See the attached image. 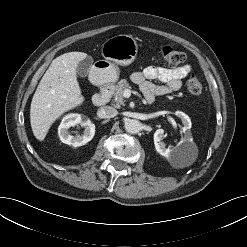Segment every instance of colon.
Here are the masks:
<instances>
[{"label":"colon","instance_id":"obj_1","mask_svg":"<svg viewBox=\"0 0 247 247\" xmlns=\"http://www.w3.org/2000/svg\"><path fill=\"white\" fill-rule=\"evenodd\" d=\"M161 56L164 63L172 67L179 66L186 60L183 52L170 46H166L162 49ZM187 90L193 96H199L202 93L201 82L195 74H192L187 80Z\"/></svg>","mask_w":247,"mask_h":247}]
</instances>
